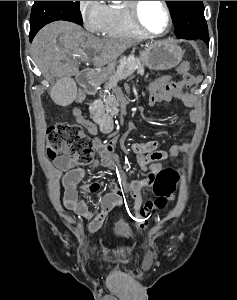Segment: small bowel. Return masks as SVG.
<instances>
[{
    "label": "small bowel",
    "instance_id": "obj_1",
    "mask_svg": "<svg viewBox=\"0 0 237 300\" xmlns=\"http://www.w3.org/2000/svg\"><path fill=\"white\" fill-rule=\"evenodd\" d=\"M200 81V76H193V83L191 85L180 86L176 90H173L160 102L166 103L172 98H179L187 107H193L194 101L190 94L186 93L183 88H190L194 84ZM171 82L170 76L161 77L152 82L148 87L149 94L154 90L163 87ZM83 98L82 94H79L77 100ZM189 120H196V112L191 110L189 112ZM78 123L85 126L92 134H97L99 129L90 121L83 117H77ZM160 143L157 140H150L147 142H136L131 145V152L136 155V162L142 171L148 173L147 178L143 181H134L131 183L125 182L126 174L122 170L119 163V159L114 153L113 143L98 144L95 149V159L88 167H75L73 160L69 155H60L54 160V164L57 169L62 171V189H63V202L64 206L74 211L80 217L90 219L88 230L91 233L98 231L103 225L108 213L115 207L122 204V197L124 192H129L135 200L136 208V220L140 227H145L147 224L146 215L149 210L153 208L152 203H148L145 207H141L140 189L149 184L150 177L153 173L163 169L161 163L162 160L169 158H175L184 152L183 147L172 146L167 150H159ZM98 167H104L110 169L116 174V179L110 183V192L105 194L100 201V209L96 214L88 208L85 201L78 198L77 186L84 179L88 169H96ZM101 183L95 181L87 183L82 186V189L88 193H96L99 191Z\"/></svg>",
    "mask_w": 237,
    "mask_h": 300
}]
</instances>
